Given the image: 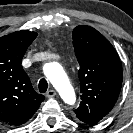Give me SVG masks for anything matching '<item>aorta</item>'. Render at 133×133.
<instances>
[{
    "mask_svg": "<svg viewBox=\"0 0 133 133\" xmlns=\"http://www.w3.org/2000/svg\"><path fill=\"white\" fill-rule=\"evenodd\" d=\"M43 70L44 74L59 92L62 99L67 104L74 105L76 96L61 65L57 62L47 63L44 65Z\"/></svg>",
    "mask_w": 133,
    "mask_h": 133,
    "instance_id": "aorta-1",
    "label": "aorta"
}]
</instances>
